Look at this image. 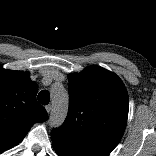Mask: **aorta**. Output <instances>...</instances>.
<instances>
[{
    "label": "aorta",
    "mask_w": 156,
    "mask_h": 156,
    "mask_svg": "<svg viewBox=\"0 0 156 156\" xmlns=\"http://www.w3.org/2000/svg\"><path fill=\"white\" fill-rule=\"evenodd\" d=\"M68 93L63 87H54L51 90L52 110L49 117V124L52 127H59L63 124L68 112Z\"/></svg>",
    "instance_id": "762f6f07"
}]
</instances>
